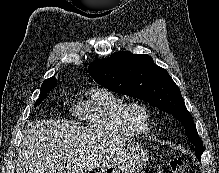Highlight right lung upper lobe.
<instances>
[{"mask_svg":"<svg viewBox=\"0 0 219 173\" xmlns=\"http://www.w3.org/2000/svg\"><path fill=\"white\" fill-rule=\"evenodd\" d=\"M47 80H53L55 83H57L55 77H51V78H49Z\"/></svg>","mask_w":219,"mask_h":173,"instance_id":"obj_1","label":"right lung upper lobe"}]
</instances>
